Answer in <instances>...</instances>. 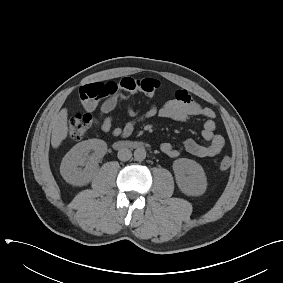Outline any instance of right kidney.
I'll return each instance as SVG.
<instances>
[{
	"label": "right kidney",
	"instance_id": "ca27d5eb",
	"mask_svg": "<svg viewBox=\"0 0 283 283\" xmlns=\"http://www.w3.org/2000/svg\"><path fill=\"white\" fill-rule=\"evenodd\" d=\"M94 151L92 155H89ZM107 152V144L100 139H89L76 144L63 158L60 173L74 186L88 184L97 169L98 160ZM79 166H85L84 169Z\"/></svg>",
	"mask_w": 283,
	"mask_h": 283
}]
</instances>
